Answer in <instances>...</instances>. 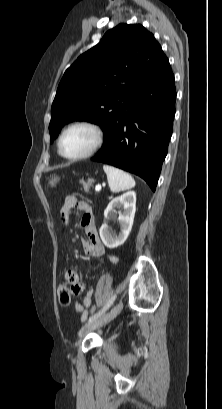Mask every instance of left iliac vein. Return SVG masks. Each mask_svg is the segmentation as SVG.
Instances as JSON below:
<instances>
[{"mask_svg": "<svg viewBox=\"0 0 222 409\" xmlns=\"http://www.w3.org/2000/svg\"><path fill=\"white\" fill-rule=\"evenodd\" d=\"M122 308H123V304L118 303L106 314L102 315L101 317H99L98 319H96V320H94L92 322H88L87 324H85L81 328V330L79 332V336L84 337L88 333H90L91 331H93L95 329H98V328L104 326L105 324L109 323L111 320H113L121 312Z\"/></svg>", "mask_w": 222, "mask_h": 409, "instance_id": "left-iliac-vein-1", "label": "left iliac vein"}]
</instances>
